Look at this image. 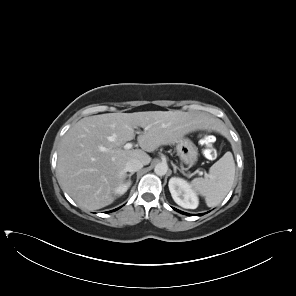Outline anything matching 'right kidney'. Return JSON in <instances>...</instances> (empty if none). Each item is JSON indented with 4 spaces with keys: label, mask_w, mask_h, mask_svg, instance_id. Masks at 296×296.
Segmentation results:
<instances>
[{
    "label": "right kidney",
    "mask_w": 296,
    "mask_h": 296,
    "mask_svg": "<svg viewBox=\"0 0 296 296\" xmlns=\"http://www.w3.org/2000/svg\"><path fill=\"white\" fill-rule=\"evenodd\" d=\"M130 186H131V181L122 183L116 188L115 193L117 194V196H122Z\"/></svg>",
    "instance_id": "ca27d5eb"
}]
</instances>
